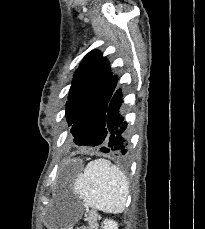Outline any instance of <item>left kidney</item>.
<instances>
[{"instance_id": "obj_1", "label": "left kidney", "mask_w": 205, "mask_h": 229, "mask_svg": "<svg viewBox=\"0 0 205 229\" xmlns=\"http://www.w3.org/2000/svg\"><path fill=\"white\" fill-rule=\"evenodd\" d=\"M104 229H118V224L113 220L106 219L104 221Z\"/></svg>"}]
</instances>
